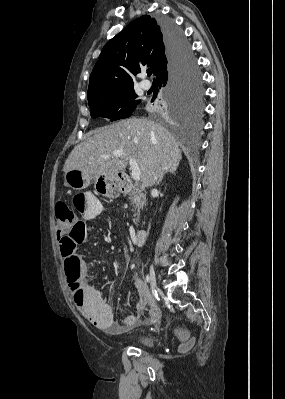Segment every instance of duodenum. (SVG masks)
<instances>
[{"label":"duodenum","mask_w":285,"mask_h":399,"mask_svg":"<svg viewBox=\"0 0 285 399\" xmlns=\"http://www.w3.org/2000/svg\"><path fill=\"white\" fill-rule=\"evenodd\" d=\"M147 230L142 228L136 231L134 241L136 244H142L147 238Z\"/></svg>","instance_id":"duodenum-1"}]
</instances>
